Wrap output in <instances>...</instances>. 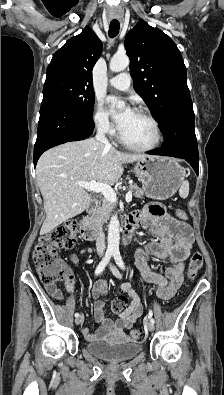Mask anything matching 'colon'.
Instances as JSON below:
<instances>
[{"instance_id": "1", "label": "colon", "mask_w": 224, "mask_h": 395, "mask_svg": "<svg viewBox=\"0 0 224 395\" xmlns=\"http://www.w3.org/2000/svg\"><path fill=\"white\" fill-rule=\"evenodd\" d=\"M176 216L182 220L187 219V214L182 209L176 210ZM76 230V224L70 222L58 226L38 238L33 252V261L44 284H54L68 279L70 273L65 263L57 255V251L75 245L77 241ZM202 265V254L199 251H194L189 260L188 277L195 278ZM126 304L127 298L120 296L112 302L111 308L113 312L120 313L124 310ZM130 337L134 341L143 340L145 331L133 329Z\"/></svg>"}]
</instances>
